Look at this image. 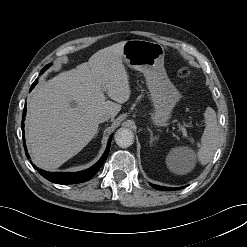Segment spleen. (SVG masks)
Returning a JSON list of instances; mask_svg holds the SVG:
<instances>
[{"mask_svg":"<svg viewBox=\"0 0 247 247\" xmlns=\"http://www.w3.org/2000/svg\"><path fill=\"white\" fill-rule=\"evenodd\" d=\"M205 130L201 137V147L197 152V159L202 165H206L213 157L219 143V128L215 111L208 107L204 113ZM178 151L173 152V157H178ZM171 169L175 170L172 162H169Z\"/></svg>","mask_w":247,"mask_h":247,"instance_id":"obj_1","label":"spleen"}]
</instances>
